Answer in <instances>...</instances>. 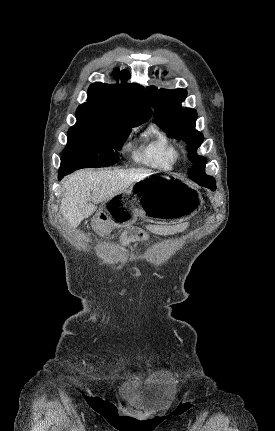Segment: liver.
<instances>
[{
	"mask_svg": "<svg viewBox=\"0 0 275 431\" xmlns=\"http://www.w3.org/2000/svg\"><path fill=\"white\" fill-rule=\"evenodd\" d=\"M151 174L146 169L77 171L63 182L62 215L75 228L96 211V204L126 191L132 183Z\"/></svg>",
	"mask_w": 275,
	"mask_h": 431,
	"instance_id": "obj_1",
	"label": "liver"
}]
</instances>
